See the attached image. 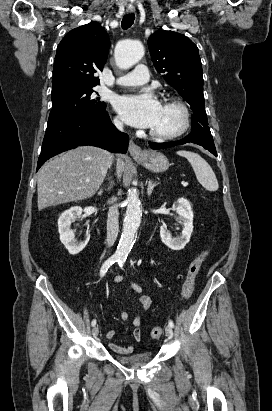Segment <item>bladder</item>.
I'll return each mask as SVG.
<instances>
[{
	"label": "bladder",
	"instance_id": "31cf9c89",
	"mask_svg": "<svg viewBox=\"0 0 272 411\" xmlns=\"http://www.w3.org/2000/svg\"><path fill=\"white\" fill-rule=\"evenodd\" d=\"M152 358L150 352L117 355L116 360L128 366H140L148 363Z\"/></svg>",
	"mask_w": 272,
	"mask_h": 411
}]
</instances>
